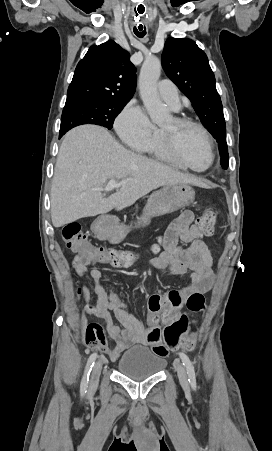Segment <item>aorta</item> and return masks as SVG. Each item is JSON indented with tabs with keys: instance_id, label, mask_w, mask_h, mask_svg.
Instances as JSON below:
<instances>
[{
	"instance_id": "aorta-1",
	"label": "aorta",
	"mask_w": 272,
	"mask_h": 451,
	"mask_svg": "<svg viewBox=\"0 0 272 451\" xmlns=\"http://www.w3.org/2000/svg\"><path fill=\"white\" fill-rule=\"evenodd\" d=\"M161 74V60L156 56L145 58L139 76V90L143 104L153 122H166L165 104L159 98L157 82Z\"/></svg>"
}]
</instances>
